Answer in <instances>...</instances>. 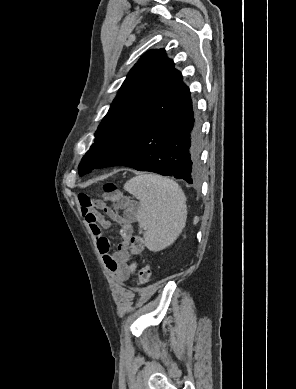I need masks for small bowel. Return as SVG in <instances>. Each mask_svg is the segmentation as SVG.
<instances>
[{
  "label": "small bowel",
  "mask_w": 296,
  "mask_h": 389,
  "mask_svg": "<svg viewBox=\"0 0 296 389\" xmlns=\"http://www.w3.org/2000/svg\"><path fill=\"white\" fill-rule=\"evenodd\" d=\"M79 203L81 214L96 238L97 248L106 269L117 281H127L135 271V265L128 263V243L132 222L138 211L137 205L125 198L119 202H111L107 199L93 200L86 195L79 196ZM100 211H103V214ZM112 222L119 225L120 242L115 251L111 250L110 241L103 235V230L108 229Z\"/></svg>",
  "instance_id": "small-bowel-1"
}]
</instances>
